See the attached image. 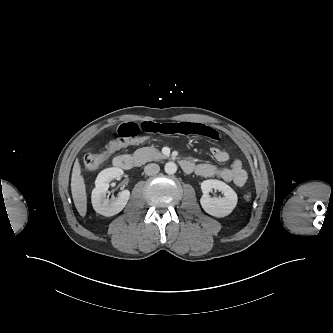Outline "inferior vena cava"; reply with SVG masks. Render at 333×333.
Wrapping results in <instances>:
<instances>
[{"instance_id": "obj_1", "label": "inferior vena cava", "mask_w": 333, "mask_h": 333, "mask_svg": "<svg viewBox=\"0 0 333 333\" xmlns=\"http://www.w3.org/2000/svg\"><path fill=\"white\" fill-rule=\"evenodd\" d=\"M160 171V167L156 163H151L145 166L144 172L146 175H156Z\"/></svg>"}]
</instances>
